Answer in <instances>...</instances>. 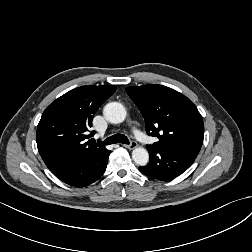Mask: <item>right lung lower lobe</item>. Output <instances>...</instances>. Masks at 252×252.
I'll list each match as a JSON object with an SVG mask.
<instances>
[{
	"label": "right lung lower lobe",
	"mask_w": 252,
	"mask_h": 252,
	"mask_svg": "<svg viewBox=\"0 0 252 252\" xmlns=\"http://www.w3.org/2000/svg\"><path fill=\"white\" fill-rule=\"evenodd\" d=\"M110 151L100 155H82L66 160L50 171L61 181L75 187H84L102 176Z\"/></svg>",
	"instance_id": "obj_1"
}]
</instances>
